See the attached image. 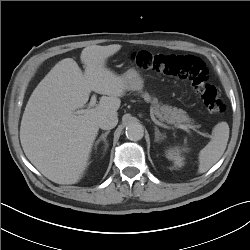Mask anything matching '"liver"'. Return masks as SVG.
<instances>
[{
  "label": "liver",
  "mask_w": 250,
  "mask_h": 250,
  "mask_svg": "<svg viewBox=\"0 0 250 250\" xmlns=\"http://www.w3.org/2000/svg\"><path fill=\"white\" fill-rule=\"evenodd\" d=\"M121 45H93L81 52L85 72L72 58L59 61L31 94L20 126V141L29 161L49 180L77 183L87 168L98 121L116 115L125 79L106 67ZM91 91L103 95L95 108L82 115ZM107 95V96H106Z\"/></svg>",
  "instance_id": "6515ba94"
}]
</instances>
